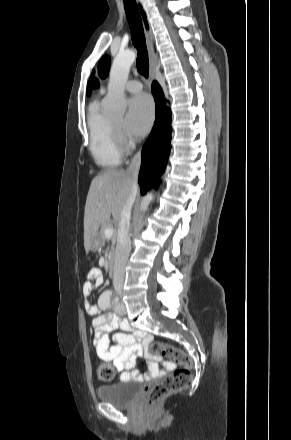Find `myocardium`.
Wrapping results in <instances>:
<instances>
[{"mask_svg": "<svg viewBox=\"0 0 291 440\" xmlns=\"http://www.w3.org/2000/svg\"><path fill=\"white\" fill-rule=\"evenodd\" d=\"M111 127H112L114 138H115L117 144L118 143H122L123 140H124V136H123V132H122V127L117 125V124H115L113 122V120H111Z\"/></svg>", "mask_w": 291, "mask_h": 440, "instance_id": "f54148a6", "label": "myocardium"}]
</instances>
